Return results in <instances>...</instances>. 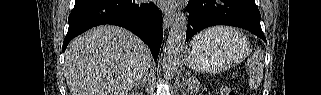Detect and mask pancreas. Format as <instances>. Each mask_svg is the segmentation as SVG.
Masks as SVG:
<instances>
[{
	"label": "pancreas",
	"mask_w": 321,
	"mask_h": 95,
	"mask_svg": "<svg viewBox=\"0 0 321 95\" xmlns=\"http://www.w3.org/2000/svg\"><path fill=\"white\" fill-rule=\"evenodd\" d=\"M186 82L191 93H196L199 90L200 82L196 78L192 77L188 79Z\"/></svg>",
	"instance_id": "cf45deb5"
}]
</instances>
